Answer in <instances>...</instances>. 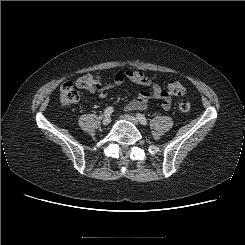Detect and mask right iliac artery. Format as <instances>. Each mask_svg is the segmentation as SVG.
I'll use <instances>...</instances> for the list:
<instances>
[{
  "label": "right iliac artery",
  "instance_id": "right-iliac-artery-1",
  "mask_svg": "<svg viewBox=\"0 0 245 245\" xmlns=\"http://www.w3.org/2000/svg\"><path fill=\"white\" fill-rule=\"evenodd\" d=\"M113 107H107L104 111V116H110L113 113Z\"/></svg>",
  "mask_w": 245,
  "mask_h": 245
}]
</instances>
